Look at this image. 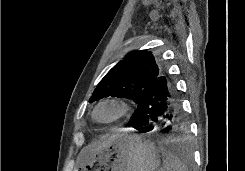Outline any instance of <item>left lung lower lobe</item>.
Returning a JSON list of instances; mask_svg holds the SVG:
<instances>
[{
	"label": "left lung lower lobe",
	"instance_id": "obj_1",
	"mask_svg": "<svg viewBox=\"0 0 245 171\" xmlns=\"http://www.w3.org/2000/svg\"><path fill=\"white\" fill-rule=\"evenodd\" d=\"M137 110L128 126L140 133L152 130L153 125L184 126V116L174 84L163 74L142 92Z\"/></svg>",
	"mask_w": 245,
	"mask_h": 171
}]
</instances>
